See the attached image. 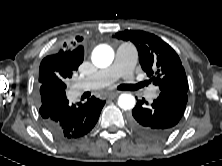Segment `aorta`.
Here are the masks:
<instances>
[{"label":"aorta","instance_id":"aorta-1","mask_svg":"<svg viewBox=\"0 0 222 166\" xmlns=\"http://www.w3.org/2000/svg\"><path fill=\"white\" fill-rule=\"evenodd\" d=\"M114 60L113 49L106 44L97 46L92 53V61L95 66L105 68L109 66ZM136 104L135 97L131 94L123 93L118 98V105L121 109L130 110Z\"/></svg>","mask_w":222,"mask_h":166}]
</instances>
